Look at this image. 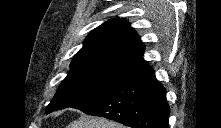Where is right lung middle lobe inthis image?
Returning a JSON list of instances; mask_svg holds the SVG:
<instances>
[{
  "label": "right lung middle lobe",
  "instance_id": "right-lung-middle-lobe-1",
  "mask_svg": "<svg viewBox=\"0 0 221 128\" xmlns=\"http://www.w3.org/2000/svg\"><path fill=\"white\" fill-rule=\"evenodd\" d=\"M125 76L97 69L70 70L61 83L46 113L92 100L117 85Z\"/></svg>",
  "mask_w": 221,
  "mask_h": 128
}]
</instances>
